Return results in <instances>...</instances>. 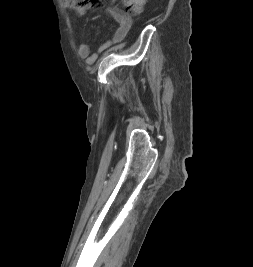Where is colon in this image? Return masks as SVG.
Returning a JSON list of instances; mask_svg holds the SVG:
<instances>
[{
    "mask_svg": "<svg viewBox=\"0 0 253 267\" xmlns=\"http://www.w3.org/2000/svg\"><path fill=\"white\" fill-rule=\"evenodd\" d=\"M69 7L89 9L97 7L101 0H64ZM124 10L129 15H136L142 11L145 0H122Z\"/></svg>",
    "mask_w": 253,
    "mask_h": 267,
    "instance_id": "5ec220e1",
    "label": "colon"
}]
</instances>
